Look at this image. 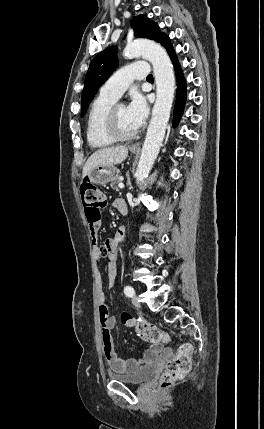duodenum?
I'll list each match as a JSON object with an SVG mask.
<instances>
[{
    "instance_id": "1",
    "label": "duodenum",
    "mask_w": 264,
    "mask_h": 429,
    "mask_svg": "<svg viewBox=\"0 0 264 429\" xmlns=\"http://www.w3.org/2000/svg\"><path fill=\"white\" fill-rule=\"evenodd\" d=\"M118 211L120 212V214L122 215H126L128 212V208L125 202H122L118 205L117 207Z\"/></svg>"
}]
</instances>
